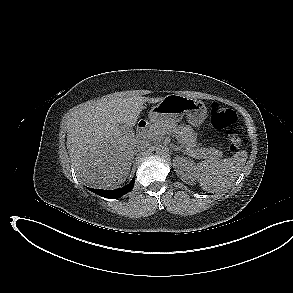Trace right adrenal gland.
Returning a JSON list of instances; mask_svg holds the SVG:
<instances>
[{
    "label": "right adrenal gland",
    "mask_w": 293,
    "mask_h": 293,
    "mask_svg": "<svg viewBox=\"0 0 293 293\" xmlns=\"http://www.w3.org/2000/svg\"><path fill=\"white\" fill-rule=\"evenodd\" d=\"M133 159H134V156H133V158H132V161H131V163H133L134 161H133Z\"/></svg>",
    "instance_id": "obj_1"
}]
</instances>
